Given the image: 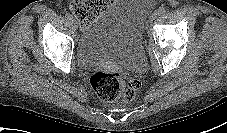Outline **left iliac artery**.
Masks as SVG:
<instances>
[{
  "instance_id": "obj_1",
  "label": "left iliac artery",
  "mask_w": 227,
  "mask_h": 133,
  "mask_svg": "<svg viewBox=\"0 0 227 133\" xmlns=\"http://www.w3.org/2000/svg\"><path fill=\"white\" fill-rule=\"evenodd\" d=\"M165 13H166V11L164 8H160L155 11V14H157V15H164Z\"/></svg>"
}]
</instances>
